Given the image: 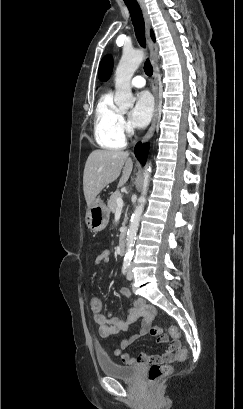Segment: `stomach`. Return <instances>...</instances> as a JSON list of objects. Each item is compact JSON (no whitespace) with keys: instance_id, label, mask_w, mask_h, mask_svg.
Returning a JSON list of instances; mask_svg holds the SVG:
<instances>
[{"instance_id":"0dacf381","label":"stomach","mask_w":243,"mask_h":409,"mask_svg":"<svg viewBox=\"0 0 243 409\" xmlns=\"http://www.w3.org/2000/svg\"><path fill=\"white\" fill-rule=\"evenodd\" d=\"M109 210L101 200L97 197L86 211L85 221L88 228L92 232H100L107 226L109 222Z\"/></svg>"}]
</instances>
